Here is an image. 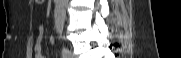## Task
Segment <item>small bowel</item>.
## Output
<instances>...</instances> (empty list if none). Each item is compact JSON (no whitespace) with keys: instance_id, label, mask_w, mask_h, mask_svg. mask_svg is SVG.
Wrapping results in <instances>:
<instances>
[{"instance_id":"c3829d8e","label":"small bowel","mask_w":181,"mask_h":58,"mask_svg":"<svg viewBox=\"0 0 181 58\" xmlns=\"http://www.w3.org/2000/svg\"><path fill=\"white\" fill-rule=\"evenodd\" d=\"M44 39V26L40 24L37 28L36 36H35V42H34V53L35 58H44L42 54V43ZM49 42L51 44H54L55 38L51 36L49 38Z\"/></svg>"}]
</instances>
